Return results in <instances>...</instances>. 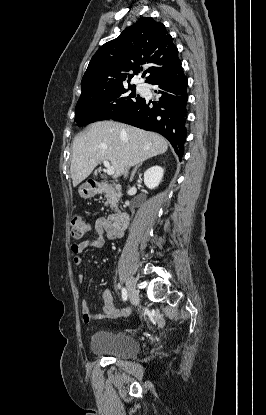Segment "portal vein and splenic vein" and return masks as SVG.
Segmentation results:
<instances>
[{
  "label": "portal vein and splenic vein",
  "instance_id": "1",
  "mask_svg": "<svg viewBox=\"0 0 266 415\" xmlns=\"http://www.w3.org/2000/svg\"><path fill=\"white\" fill-rule=\"evenodd\" d=\"M103 164H104V166H105V168H106V173L108 174V175H114V173H115V169H114V167L112 166V165H110V163H109V161H107V160H104L103 161Z\"/></svg>",
  "mask_w": 266,
  "mask_h": 415
}]
</instances>
